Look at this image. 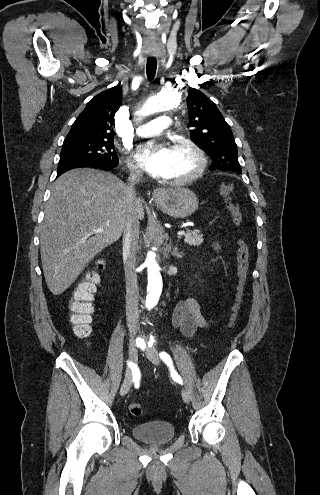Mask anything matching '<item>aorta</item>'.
Wrapping results in <instances>:
<instances>
[{"mask_svg": "<svg viewBox=\"0 0 320 495\" xmlns=\"http://www.w3.org/2000/svg\"><path fill=\"white\" fill-rule=\"evenodd\" d=\"M180 102L181 98L176 90L164 89L158 96L148 98L141 109L136 112V115L139 118H144L158 112L174 109L180 105ZM163 241V229L161 225L155 224L149 232V246L142 259V263L148 272L146 297V307L148 309L157 305L162 292V276L157 262L159 249Z\"/></svg>", "mask_w": 320, "mask_h": 495, "instance_id": "aorta-1", "label": "aorta"}]
</instances>
